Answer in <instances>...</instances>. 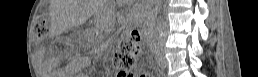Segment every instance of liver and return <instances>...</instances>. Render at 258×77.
Instances as JSON below:
<instances>
[{
  "instance_id": "obj_1",
  "label": "liver",
  "mask_w": 258,
  "mask_h": 77,
  "mask_svg": "<svg viewBox=\"0 0 258 77\" xmlns=\"http://www.w3.org/2000/svg\"><path fill=\"white\" fill-rule=\"evenodd\" d=\"M61 6L58 10L60 19L71 26L76 23V1L64 0L60 1Z\"/></svg>"
}]
</instances>
